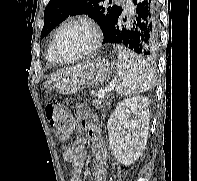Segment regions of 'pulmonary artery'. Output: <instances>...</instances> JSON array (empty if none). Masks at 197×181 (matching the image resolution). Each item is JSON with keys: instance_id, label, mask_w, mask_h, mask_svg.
<instances>
[{"instance_id": "pulmonary-artery-1", "label": "pulmonary artery", "mask_w": 197, "mask_h": 181, "mask_svg": "<svg viewBox=\"0 0 197 181\" xmlns=\"http://www.w3.org/2000/svg\"><path fill=\"white\" fill-rule=\"evenodd\" d=\"M125 5H126V8H128V9H132L133 8V4H132L131 0L125 1Z\"/></svg>"}]
</instances>
